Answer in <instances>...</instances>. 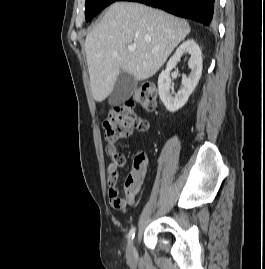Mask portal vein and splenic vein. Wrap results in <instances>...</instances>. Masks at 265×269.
<instances>
[{
  "label": "portal vein and splenic vein",
  "instance_id": "1",
  "mask_svg": "<svg viewBox=\"0 0 265 269\" xmlns=\"http://www.w3.org/2000/svg\"><path fill=\"white\" fill-rule=\"evenodd\" d=\"M128 50L131 51V52H134V51L136 50V47L133 46V45H129V46H128ZM157 51H158V50H155V51H153V52H157Z\"/></svg>",
  "mask_w": 265,
  "mask_h": 269
}]
</instances>
